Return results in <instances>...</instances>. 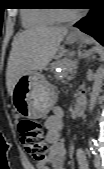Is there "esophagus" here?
Segmentation results:
<instances>
[{"instance_id": "esophagus-1", "label": "esophagus", "mask_w": 104, "mask_h": 169, "mask_svg": "<svg viewBox=\"0 0 104 169\" xmlns=\"http://www.w3.org/2000/svg\"><path fill=\"white\" fill-rule=\"evenodd\" d=\"M71 35L77 36V35H79V31L77 29H74L71 31Z\"/></svg>"}]
</instances>
